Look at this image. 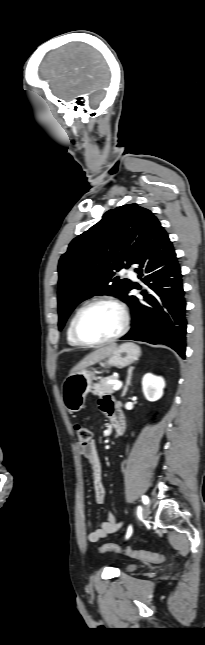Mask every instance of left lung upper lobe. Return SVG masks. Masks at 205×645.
<instances>
[{
	"label": "left lung upper lobe",
	"mask_w": 205,
	"mask_h": 645,
	"mask_svg": "<svg viewBox=\"0 0 205 645\" xmlns=\"http://www.w3.org/2000/svg\"><path fill=\"white\" fill-rule=\"evenodd\" d=\"M157 218L137 204L107 211L102 219L70 243L59 260L58 327L61 330L82 301L103 294L125 298L129 279L115 272L132 264L138 244Z\"/></svg>",
	"instance_id": "1"
}]
</instances>
